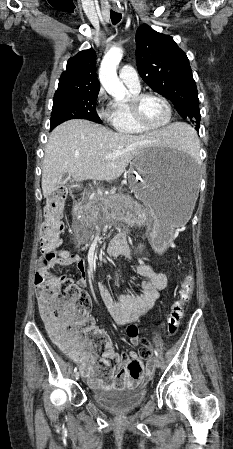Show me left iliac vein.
I'll use <instances>...</instances> for the list:
<instances>
[{"label": "left iliac vein", "mask_w": 233, "mask_h": 449, "mask_svg": "<svg viewBox=\"0 0 233 449\" xmlns=\"http://www.w3.org/2000/svg\"><path fill=\"white\" fill-rule=\"evenodd\" d=\"M154 366H155L156 368H160V367H161V362H160V360H159L158 358H155V360H154Z\"/></svg>", "instance_id": "left-iliac-vein-1"}]
</instances>
